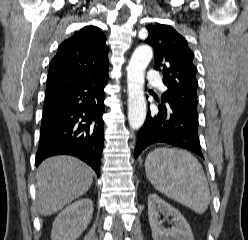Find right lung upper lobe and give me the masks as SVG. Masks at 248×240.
Instances as JSON below:
<instances>
[{"label": "right lung upper lobe", "instance_id": "right-lung-upper-lobe-1", "mask_svg": "<svg viewBox=\"0 0 248 240\" xmlns=\"http://www.w3.org/2000/svg\"><path fill=\"white\" fill-rule=\"evenodd\" d=\"M108 51L102 30L92 25L85 26L59 46L50 62L45 93L106 77Z\"/></svg>", "mask_w": 248, "mask_h": 240}]
</instances>
